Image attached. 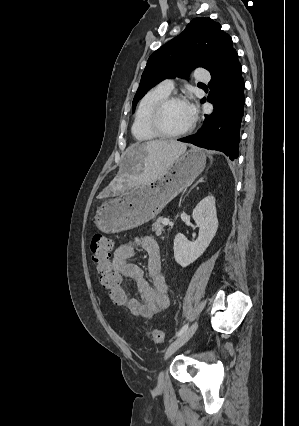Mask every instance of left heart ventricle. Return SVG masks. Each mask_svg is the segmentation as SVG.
Wrapping results in <instances>:
<instances>
[{
  "label": "left heart ventricle",
  "instance_id": "1",
  "mask_svg": "<svg viewBox=\"0 0 299 426\" xmlns=\"http://www.w3.org/2000/svg\"><path fill=\"white\" fill-rule=\"evenodd\" d=\"M191 122L187 103L173 102L164 112L163 124L166 130L178 132L187 127Z\"/></svg>",
  "mask_w": 299,
  "mask_h": 426
}]
</instances>
